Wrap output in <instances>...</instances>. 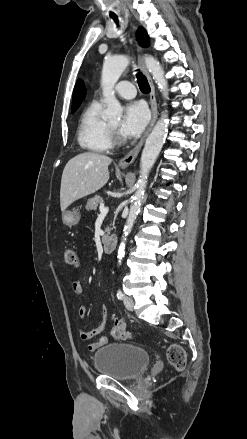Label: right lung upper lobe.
I'll return each mask as SVG.
<instances>
[{
	"label": "right lung upper lobe",
	"mask_w": 247,
	"mask_h": 439,
	"mask_svg": "<svg viewBox=\"0 0 247 439\" xmlns=\"http://www.w3.org/2000/svg\"><path fill=\"white\" fill-rule=\"evenodd\" d=\"M86 90L82 81H78L74 87L72 109H77L85 98Z\"/></svg>",
	"instance_id": "cb5924a9"
}]
</instances>
